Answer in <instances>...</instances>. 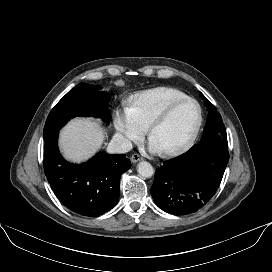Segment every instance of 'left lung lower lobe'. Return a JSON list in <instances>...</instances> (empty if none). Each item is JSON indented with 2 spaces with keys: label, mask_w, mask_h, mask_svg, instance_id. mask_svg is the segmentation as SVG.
I'll return each instance as SVG.
<instances>
[{
  "label": "left lung lower lobe",
  "mask_w": 272,
  "mask_h": 272,
  "mask_svg": "<svg viewBox=\"0 0 272 272\" xmlns=\"http://www.w3.org/2000/svg\"><path fill=\"white\" fill-rule=\"evenodd\" d=\"M229 160L227 149L194 145L179 157L165 161L155 173L152 197L174 215L198 211L213 197Z\"/></svg>",
  "instance_id": "1"
}]
</instances>
